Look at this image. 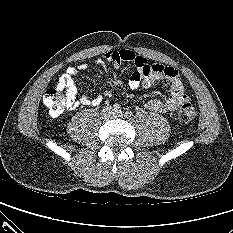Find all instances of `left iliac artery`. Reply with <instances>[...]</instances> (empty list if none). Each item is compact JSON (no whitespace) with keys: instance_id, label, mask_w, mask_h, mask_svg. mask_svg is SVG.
Returning <instances> with one entry per match:
<instances>
[{"instance_id":"left-iliac-artery-1","label":"left iliac artery","mask_w":233,"mask_h":233,"mask_svg":"<svg viewBox=\"0 0 233 233\" xmlns=\"http://www.w3.org/2000/svg\"><path fill=\"white\" fill-rule=\"evenodd\" d=\"M132 115H133V113H132L131 111H126L125 114H124V116H125L126 118H131Z\"/></svg>"}]
</instances>
